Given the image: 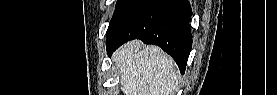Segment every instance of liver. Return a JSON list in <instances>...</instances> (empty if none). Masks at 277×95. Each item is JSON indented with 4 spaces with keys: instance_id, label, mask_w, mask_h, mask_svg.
<instances>
[{
    "instance_id": "6515ba94",
    "label": "liver",
    "mask_w": 277,
    "mask_h": 95,
    "mask_svg": "<svg viewBox=\"0 0 277 95\" xmlns=\"http://www.w3.org/2000/svg\"><path fill=\"white\" fill-rule=\"evenodd\" d=\"M124 95H171L178 74L173 59L140 40L122 45L113 56Z\"/></svg>"
}]
</instances>
